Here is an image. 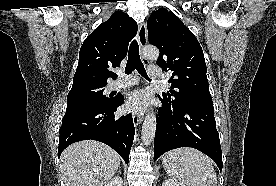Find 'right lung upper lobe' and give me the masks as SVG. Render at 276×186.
Listing matches in <instances>:
<instances>
[{"label": "right lung upper lobe", "mask_w": 276, "mask_h": 186, "mask_svg": "<svg viewBox=\"0 0 276 186\" xmlns=\"http://www.w3.org/2000/svg\"><path fill=\"white\" fill-rule=\"evenodd\" d=\"M136 32V22L124 12H114L101 23L81 46L72 88L105 85L108 78L115 79L112 69L120 66Z\"/></svg>", "instance_id": "right-lung-upper-lobe-1"}]
</instances>
